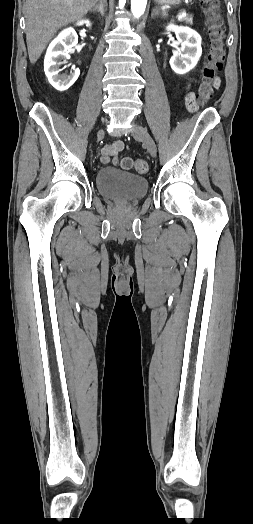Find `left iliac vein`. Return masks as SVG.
<instances>
[{
	"label": "left iliac vein",
	"instance_id": "4c4485c4",
	"mask_svg": "<svg viewBox=\"0 0 253 524\" xmlns=\"http://www.w3.org/2000/svg\"><path fill=\"white\" fill-rule=\"evenodd\" d=\"M132 135L134 138L142 141V143L147 148L148 152L151 154V156L155 157L157 153V148L154 140L148 133V131L141 125H134Z\"/></svg>",
	"mask_w": 253,
	"mask_h": 524
}]
</instances>
